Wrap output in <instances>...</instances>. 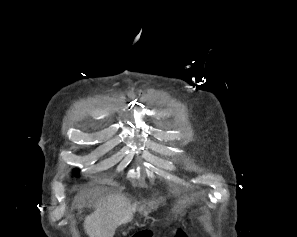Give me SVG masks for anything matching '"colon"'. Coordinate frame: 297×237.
Returning a JSON list of instances; mask_svg holds the SVG:
<instances>
[{"label": "colon", "mask_w": 297, "mask_h": 237, "mask_svg": "<svg viewBox=\"0 0 297 237\" xmlns=\"http://www.w3.org/2000/svg\"><path fill=\"white\" fill-rule=\"evenodd\" d=\"M132 237H152V233L144 231L133 235Z\"/></svg>", "instance_id": "5ec220e1"}]
</instances>
